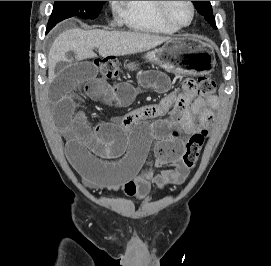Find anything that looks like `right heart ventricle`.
I'll return each instance as SVG.
<instances>
[{"instance_id":"right-heart-ventricle-1","label":"right heart ventricle","mask_w":271,"mask_h":266,"mask_svg":"<svg viewBox=\"0 0 271 266\" xmlns=\"http://www.w3.org/2000/svg\"><path fill=\"white\" fill-rule=\"evenodd\" d=\"M116 2L120 20L130 29L162 34H173L178 31L161 16L159 1Z\"/></svg>"}]
</instances>
